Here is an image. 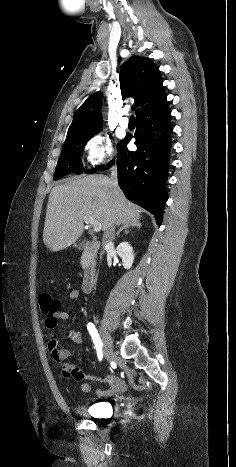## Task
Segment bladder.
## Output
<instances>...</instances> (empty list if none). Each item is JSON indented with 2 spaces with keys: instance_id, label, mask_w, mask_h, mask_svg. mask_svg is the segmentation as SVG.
Instances as JSON below:
<instances>
[{
  "instance_id": "obj_1",
  "label": "bladder",
  "mask_w": 236,
  "mask_h": 467,
  "mask_svg": "<svg viewBox=\"0 0 236 467\" xmlns=\"http://www.w3.org/2000/svg\"><path fill=\"white\" fill-rule=\"evenodd\" d=\"M111 409L109 403L107 402H100V403H95L93 405H91L86 413L88 415H101V414H106L107 412H109Z\"/></svg>"
}]
</instances>
